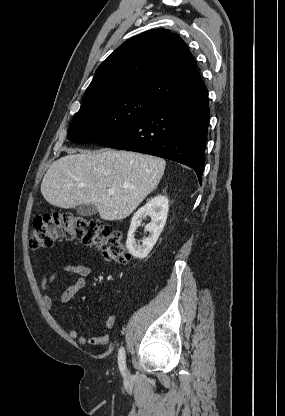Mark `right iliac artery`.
<instances>
[{
  "mask_svg": "<svg viewBox=\"0 0 285 416\" xmlns=\"http://www.w3.org/2000/svg\"><path fill=\"white\" fill-rule=\"evenodd\" d=\"M118 364H119V368L122 374L125 375L126 362H125V350L123 347L119 350V353H118Z\"/></svg>",
  "mask_w": 285,
  "mask_h": 416,
  "instance_id": "82829eb1",
  "label": "right iliac artery"
}]
</instances>
